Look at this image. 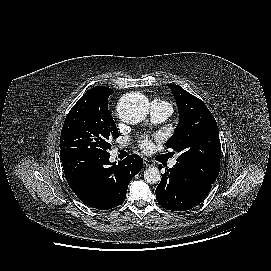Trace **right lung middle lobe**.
Returning <instances> with one entry per match:
<instances>
[{"label":"right lung middle lobe","instance_id":"obj_1","mask_svg":"<svg viewBox=\"0 0 271 271\" xmlns=\"http://www.w3.org/2000/svg\"><path fill=\"white\" fill-rule=\"evenodd\" d=\"M113 93L109 87L96 86L78 100L65 119L60 149L108 153L111 141L119 136L108 110V98Z\"/></svg>","mask_w":271,"mask_h":271}]
</instances>
